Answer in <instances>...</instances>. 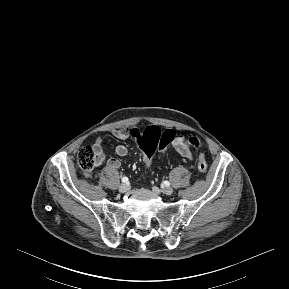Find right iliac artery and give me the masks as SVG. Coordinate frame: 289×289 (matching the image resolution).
I'll return each mask as SVG.
<instances>
[{
	"mask_svg": "<svg viewBox=\"0 0 289 289\" xmlns=\"http://www.w3.org/2000/svg\"><path fill=\"white\" fill-rule=\"evenodd\" d=\"M128 181V178L126 177V176H124L123 178H122V182L123 183H126Z\"/></svg>",
	"mask_w": 289,
	"mask_h": 289,
	"instance_id": "82829eb1",
	"label": "right iliac artery"
}]
</instances>
